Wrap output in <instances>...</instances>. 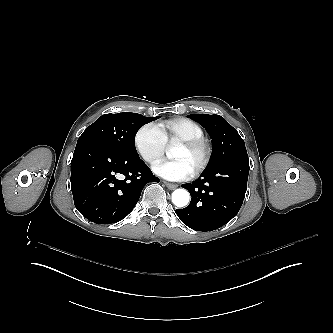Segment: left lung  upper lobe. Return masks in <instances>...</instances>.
<instances>
[{"label": "left lung upper lobe", "mask_w": 333, "mask_h": 333, "mask_svg": "<svg viewBox=\"0 0 333 333\" xmlns=\"http://www.w3.org/2000/svg\"><path fill=\"white\" fill-rule=\"evenodd\" d=\"M188 117L200 123L212 139L214 153L207 171L230 159L248 157L244 140L223 117L208 114H192Z\"/></svg>", "instance_id": "5c2ea615"}]
</instances>
